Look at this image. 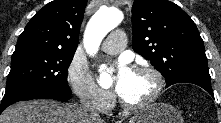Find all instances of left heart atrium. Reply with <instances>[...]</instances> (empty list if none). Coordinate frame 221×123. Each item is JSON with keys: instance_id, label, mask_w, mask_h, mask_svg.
<instances>
[{"instance_id": "1", "label": "left heart atrium", "mask_w": 221, "mask_h": 123, "mask_svg": "<svg viewBox=\"0 0 221 123\" xmlns=\"http://www.w3.org/2000/svg\"><path fill=\"white\" fill-rule=\"evenodd\" d=\"M133 71L127 65L125 61H121L118 65V71L116 75V91L118 92L122 83L131 75Z\"/></svg>"}]
</instances>
